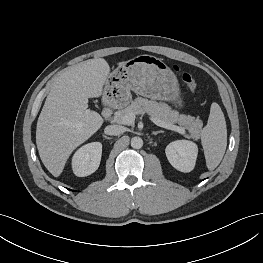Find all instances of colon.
Here are the masks:
<instances>
[{"label": "colon", "instance_id": "1", "mask_svg": "<svg viewBox=\"0 0 263 263\" xmlns=\"http://www.w3.org/2000/svg\"><path fill=\"white\" fill-rule=\"evenodd\" d=\"M175 70L179 71L177 67H175ZM180 75H181V79L189 87L190 90L195 91L197 89L196 80L191 74L187 72H182Z\"/></svg>", "mask_w": 263, "mask_h": 263}]
</instances>
